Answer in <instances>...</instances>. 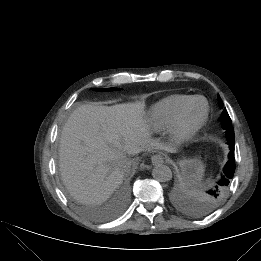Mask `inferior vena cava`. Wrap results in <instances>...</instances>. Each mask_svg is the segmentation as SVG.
I'll return each instance as SVG.
<instances>
[{
    "instance_id": "obj_1",
    "label": "inferior vena cava",
    "mask_w": 261,
    "mask_h": 261,
    "mask_svg": "<svg viewBox=\"0 0 261 261\" xmlns=\"http://www.w3.org/2000/svg\"><path fill=\"white\" fill-rule=\"evenodd\" d=\"M132 160L129 157H124L120 160V166L124 171H128L131 168Z\"/></svg>"
}]
</instances>
